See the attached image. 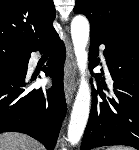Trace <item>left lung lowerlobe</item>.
<instances>
[{
    "label": "left lung lower lobe",
    "instance_id": "1",
    "mask_svg": "<svg viewBox=\"0 0 139 150\" xmlns=\"http://www.w3.org/2000/svg\"><path fill=\"white\" fill-rule=\"evenodd\" d=\"M90 39V65H97L98 46L104 44L114 89L111 97L106 96L101 87L105 78L95 74L98 86L92 91V107L81 150L109 145H127L139 150V30L110 44L93 33Z\"/></svg>",
    "mask_w": 139,
    "mask_h": 150
}]
</instances>
